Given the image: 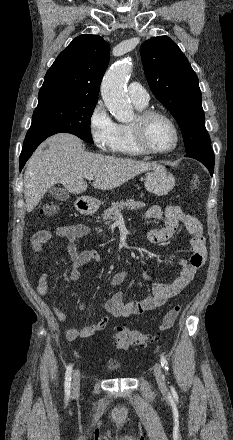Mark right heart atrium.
<instances>
[{"label":"right heart atrium","instance_id":"right-heart-atrium-1","mask_svg":"<svg viewBox=\"0 0 233 440\" xmlns=\"http://www.w3.org/2000/svg\"><path fill=\"white\" fill-rule=\"evenodd\" d=\"M88 126L95 146L103 153H114L119 138V124L114 121L104 103L99 100L92 108Z\"/></svg>","mask_w":233,"mask_h":440}]
</instances>
